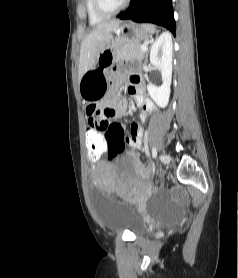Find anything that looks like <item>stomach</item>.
Listing matches in <instances>:
<instances>
[{"mask_svg":"<svg viewBox=\"0 0 238 278\" xmlns=\"http://www.w3.org/2000/svg\"><path fill=\"white\" fill-rule=\"evenodd\" d=\"M150 30L145 25L133 22L120 24L110 44L104 49L96 65L87 71L79 81V91L87 102L100 99L109 85V70L116 61V52L126 44L140 43L148 38Z\"/></svg>","mask_w":238,"mask_h":278,"instance_id":"0dacf381","label":"stomach"}]
</instances>
